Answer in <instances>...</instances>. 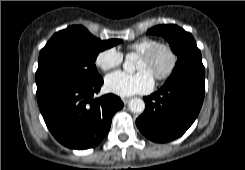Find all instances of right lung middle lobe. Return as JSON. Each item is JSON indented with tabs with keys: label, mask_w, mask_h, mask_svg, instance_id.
<instances>
[{
	"label": "right lung middle lobe",
	"mask_w": 245,
	"mask_h": 170,
	"mask_svg": "<svg viewBox=\"0 0 245 170\" xmlns=\"http://www.w3.org/2000/svg\"><path fill=\"white\" fill-rule=\"evenodd\" d=\"M120 42V39L101 41L83 26H70L55 33L39 55L37 96L59 86L99 80L101 76L95 66L97 55Z\"/></svg>",
	"instance_id": "obj_1"
}]
</instances>
